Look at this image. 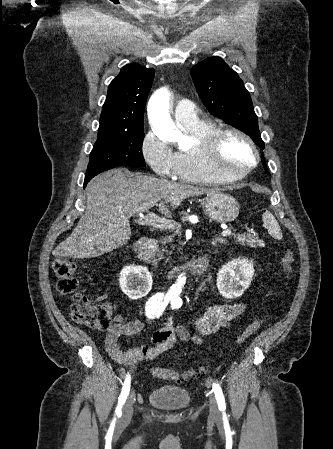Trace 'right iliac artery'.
I'll use <instances>...</instances> for the list:
<instances>
[{
  "instance_id": "82829eb1",
  "label": "right iliac artery",
  "mask_w": 333,
  "mask_h": 449,
  "mask_svg": "<svg viewBox=\"0 0 333 449\" xmlns=\"http://www.w3.org/2000/svg\"><path fill=\"white\" fill-rule=\"evenodd\" d=\"M171 298L168 296H164L162 293H158L153 295L146 303V315L148 318L153 319L155 316L159 317L162 315L166 306L170 302ZM130 375L126 376V379L123 384V388L121 394L119 396V401L117 408L115 410V414L120 416L122 414L121 408L126 401V398L130 391ZM115 421V420H114Z\"/></svg>"
}]
</instances>
